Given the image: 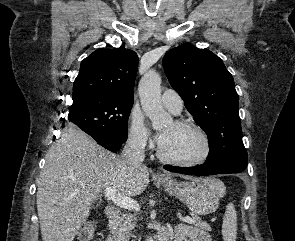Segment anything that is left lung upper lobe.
I'll return each mask as SVG.
<instances>
[{
    "label": "left lung upper lobe",
    "instance_id": "obj_1",
    "mask_svg": "<svg viewBox=\"0 0 295 241\" xmlns=\"http://www.w3.org/2000/svg\"><path fill=\"white\" fill-rule=\"evenodd\" d=\"M163 67L171 86L208 136L210 151L205 163L246 168L239 98L222 60L207 49L183 44L165 54Z\"/></svg>",
    "mask_w": 295,
    "mask_h": 241
}]
</instances>
